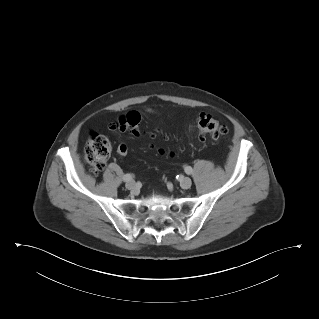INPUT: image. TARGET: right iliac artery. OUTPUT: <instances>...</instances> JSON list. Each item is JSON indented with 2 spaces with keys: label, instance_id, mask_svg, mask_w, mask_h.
Instances as JSON below:
<instances>
[{
  "label": "right iliac artery",
  "instance_id": "82829eb1",
  "mask_svg": "<svg viewBox=\"0 0 319 319\" xmlns=\"http://www.w3.org/2000/svg\"><path fill=\"white\" fill-rule=\"evenodd\" d=\"M132 178H133V175L128 173V174H125V175L123 176V181H124V182H128V181H130Z\"/></svg>",
  "mask_w": 319,
  "mask_h": 319
}]
</instances>
